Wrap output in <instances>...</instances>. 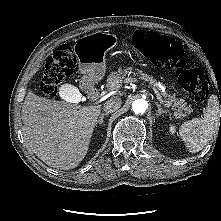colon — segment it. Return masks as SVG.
<instances>
[{
    "mask_svg": "<svg viewBox=\"0 0 221 221\" xmlns=\"http://www.w3.org/2000/svg\"><path fill=\"white\" fill-rule=\"evenodd\" d=\"M131 40L135 48L154 65L176 70L181 86L192 100H206L209 78L200 68H187L182 46L178 41L146 30L134 32ZM75 67L76 56L70 44H61L53 50L43 71L41 90L44 95L53 97L58 86L73 73Z\"/></svg>",
    "mask_w": 221,
    "mask_h": 221,
    "instance_id": "5ec220e1",
    "label": "colon"
}]
</instances>
